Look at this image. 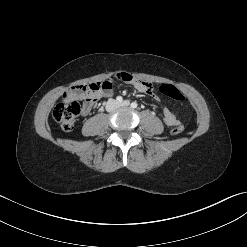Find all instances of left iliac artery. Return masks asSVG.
<instances>
[{"label": "left iliac artery", "mask_w": 247, "mask_h": 247, "mask_svg": "<svg viewBox=\"0 0 247 247\" xmlns=\"http://www.w3.org/2000/svg\"><path fill=\"white\" fill-rule=\"evenodd\" d=\"M137 106H138V104H137L136 102H132V103H131V107H132V108H137Z\"/></svg>", "instance_id": "1"}]
</instances>
